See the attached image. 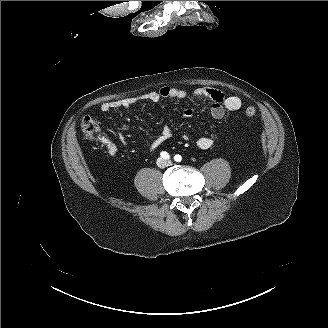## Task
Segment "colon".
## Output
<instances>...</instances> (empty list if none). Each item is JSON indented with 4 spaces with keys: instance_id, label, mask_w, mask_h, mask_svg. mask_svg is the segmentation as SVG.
Returning <instances> with one entry per match:
<instances>
[{
    "instance_id": "5ec220e1",
    "label": "colon",
    "mask_w": 328,
    "mask_h": 328,
    "mask_svg": "<svg viewBox=\"0 0 328 328\" xmlns=\"http://www.w3.org/2000/svg\"><path fill=\"white\" fill-rule=\"evenodd\" d=\"M247 117H253L256 115V108L249 106L245 109ZM81 130L87 139H94L98 136L100 126L98 122L90 116H85L81 121Z\"/></svg>"
}]
</instances>
